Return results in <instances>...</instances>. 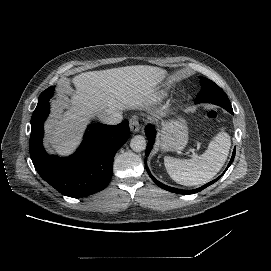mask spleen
Returning <instances> with one entry per match:
<instances>
[{
  "mask_svg": "<svg viewBox=\"0 0 271 271\" xmlns=\"http://www.w3.org/2000/svg\"><path fill=\"white\" fill-rule=\"evenodd\" d=\"M230 146V136L220 132L202 155L184 160L165 156L164 165L176 183L184 186L202 185L221 170L228 157Z\"/></svg>",
  "mask_w": 271,
  "mask_h": 271,
  "instance_id": "1",
  "label": "spleen"
}]
</instances>
